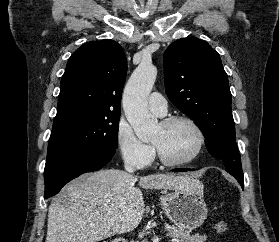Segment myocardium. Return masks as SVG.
<instances>
[{"mask_svg":"<svg viewBox=\"0 0 279 242\" xmlns=\"http://www.w3.org/2000/svg\"><path fill=\"white\" fill-rule=\"evenodd\" d=\"M176 122H184L192 127V129L194 130V132L196 133V136H197V144H196V147H195L194 151L192 152V154L189 155L188 157L181 159V160H172V159L167 158L160 151V149L154 143H152V146L154 148V151H155L159 161L162 164H164L166 166H170V167H180V166H185V165L192 163L201 154V152L205 146V142H206V137H205V133H204L203 129L193 118H191L189 116L172 115V116L166 117L163 120H161L160 125L162 127H168Z\"/></svg>","mask_w":279,"mask_h":242,"instance_id":"obj_1","label":"myocardium"}]
</instances>
